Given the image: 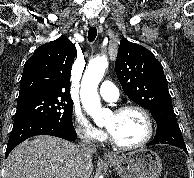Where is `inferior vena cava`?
<instances>
[{"mask_svg": "<svg viewBox=\"0 0 194 178\" xmlns=\"http://www.w3.org/2000/svg\"><path fill=\"white\" fill-rule=\"evenodd\" d=\"M96 152V145L91 141L90 138L85 137L80 143V153L84 159H89L91 154ZM77 178H83L82 175H77Z\"/></svg>", "mask_w": 194, "mask_h": 178, "instance_id": "1", "label": "inferior vena cava"}]
</instances>
